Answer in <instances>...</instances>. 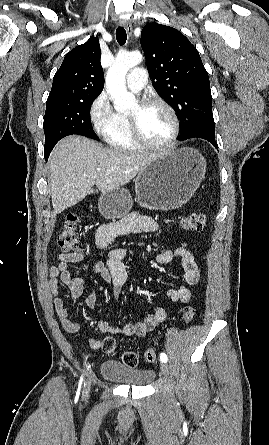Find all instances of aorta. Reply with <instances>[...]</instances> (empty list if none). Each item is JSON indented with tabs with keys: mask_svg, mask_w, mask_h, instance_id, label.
I'll list each match as a JSON object with an SVG mask.
<instances>
[{
	"mask_svg": "<svg viewBox=\"0 0 269 445\" xmlns=\"http://www.w3.org/2000/svg\"><path fill=\"white\" fill-rule=\"evenodd\" d=\"M142 60L143 57L139 52L119 54L107 72V91L117 111H126L136 105L135 96L126 89L125 76L130 68L140 64Z\"/></svg>",
	"mask_w": 269,
	"mask_h": 445,
	"instance_id": "aorta-1",
	"label": "aorta"
}]
</instances>
